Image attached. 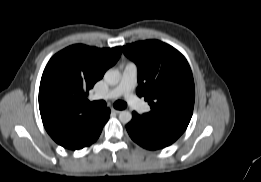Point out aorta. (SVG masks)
Here are the masks:
<instances>
[{"label": "aorta", "instance_id": "aorta-1", "mask_svg": "<svg viewBox=\"0 0 261 182\" xmlns=\"http://www.w3.org/2000/svg\"><path fill=\"white\" fill-rule=\"evenodd\" d=\"M121 74L118 70L116 69H109L106 71L104 75V80L106 83L109 85H116L120 81ZM132 119V114L129 111H121L119 114V120L123 124H127L131 121Z\"/></svg>", "mask_w": 261, "mask_h": 182}]
</instances>
